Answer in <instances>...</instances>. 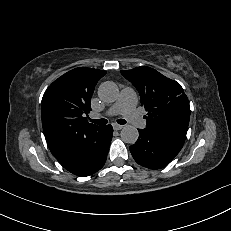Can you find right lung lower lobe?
<instances>
[{
  "label": "right lung lower lobe",
  "instance_id": "obj_1",
  "mask_svg": "<svg viewBox=\"0 0 231 231\" xmlns=\"http://www.w3.org/2000/svg\"><path fill=\"white\" fill-rule=\"evenodd\" d=\"M112 134L111 125L80 130L76 133L71 147L55 158L75 175H92L105 164Z\"/></svg>",
  "mask_w": 231,
  "mask_h": 231
}]
</instances>
